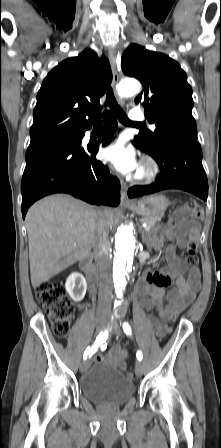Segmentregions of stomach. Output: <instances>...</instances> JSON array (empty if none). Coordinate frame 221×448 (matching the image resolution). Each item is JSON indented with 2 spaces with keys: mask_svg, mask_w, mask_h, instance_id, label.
<instances>
[{
  "mask_svg": "<svg viewBox=\"0 0 221 448\" xmlns=\"http://www.w3.org/2000/svg\"><path fill=\"white\" fill-rule=\"evenodd\" d=\"M169 205V200L160 194L151 195L128 205L127 208L144 217L163 215Z\"/></svg>",
  "mask_w": 221,
  "mask_h": 448,
  "instance_id": "stomach-1",
  "label": "stomach"
}]
</instances>
